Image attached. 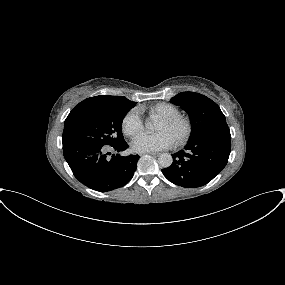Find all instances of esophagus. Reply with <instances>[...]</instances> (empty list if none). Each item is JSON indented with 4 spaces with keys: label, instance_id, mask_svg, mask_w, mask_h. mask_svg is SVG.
Wrapping results in <instances>:
<instances>
[{
    "label": "esophagus",
    "instance_id": "1",
    "mask_svg": "<svg viewBox=\"0 0 285 285\" xmlns=\"http://www.w3.org/2000/svg\"><path fill=\"white\" fill-rule=\"evenodd\" d=\"M148 154H150L152 156H158L160 153H158V152H149Z\"/></svg>",
    "mask_w": 285,
    "mask_h": 285
}]
</instances>
